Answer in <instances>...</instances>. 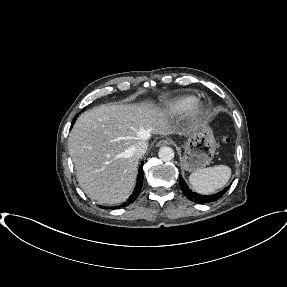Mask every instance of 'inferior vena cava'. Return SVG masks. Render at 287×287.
Here are the masks:
<instances>
[{
	"mask_svg": "<svg viewBox=\"0 0 287 287\" xmlns=\"http://www.w3.org/2000/svg\"><path fill=\"white\" fill-rule=\"evenodd\" d=\"M147 147H148V144L146 141L144 140H141V141H138L132 148V152L134 155L140 157L142 156L143 154H145L146 150H147Z\"/></svg>",
	"mask_w": 287,
	"mask_h": 287,
	"instance_id": "inferior-vena-cava-1",
	"label": "inferior vena cava"
}]
</instances>
